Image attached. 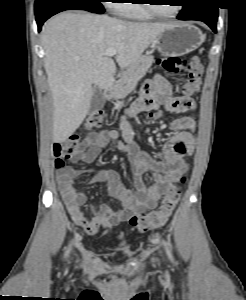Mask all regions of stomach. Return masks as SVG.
I'll return each mask as SVG.
<instances>
[{"instance_id":"obj_1","label":"stomach","mask_w":246,"mask_h":300,"mask_svg":"<svg viewBox=\"0 0 246 300\" xmlns=\"http://www.w3.org/2000/svg\"><path fill=\"white\" fill-rule=\"evenodd\" d=\"M205 41L202 31L191 23L170 25L154 41L155 48L164 56H182L199 48Z\"/></svg>"}]
</instances>
